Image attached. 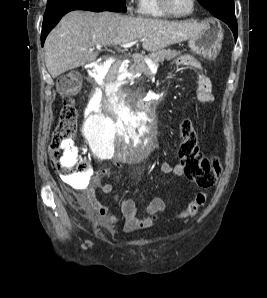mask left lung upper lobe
I'll return each mask as SVG.
<instances>
[{
  "instance_id": "obj_1",
  "label": "left lung upper lobe",
  "mask_w": 267,
  "mask_h": 298,
  "mask_svg": "<svg viewBox=\"0 0 267 298\" xmlns=\"http://www.w3.org/2000/svg\"><path fill=\"white\" fill-rule=\"evenodd\" d=\"M199 3L217 18L234 15L233 0H198Z\"/></svg>"
}]
</instances>
